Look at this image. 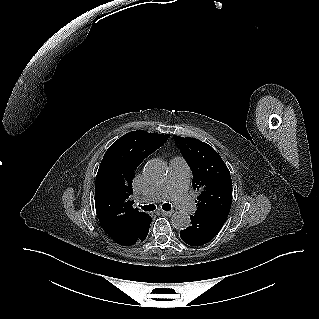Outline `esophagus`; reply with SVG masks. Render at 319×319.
Instances as JSON below:
<instances>
[{
	"instance_id": "esophagus-1",
	"label": "esophagus",
	"mask_w": 319,
	"mask_h": 319,
	"mask_svg": "<svg viewBox=\"0 0 319 319\" xmlns=\"http://www.w3.org/2000/svg\"><path fill=\"white\" fill-rule=\"evenodd\" d=\"M163 215H166V216H171L172 215V211H164V210H161L160 211Z\"/></svg>"
}]
</instances>
